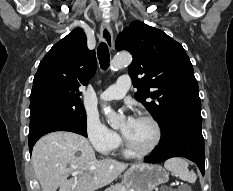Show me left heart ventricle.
Wrapping results in <instances>:
<instances>
[{
  "label": "left heart ventricle",
  "instance_id": "b2bd125f",
  "mask_svg": "<svg viewBox=\"0 0 233 191\" xmlns=\"http://www.w3.org/2000/svg\"><path fill=\"white\" fill-rule=\"evenodd\" d=\"M121 130L126 138L139 149L149 148L155 139L154 126L144 119H135L132 124L125 121L121 125Z\"/></svg>",
  "mask_w": 233,
  "mask_h": 191
}]
</instances>
